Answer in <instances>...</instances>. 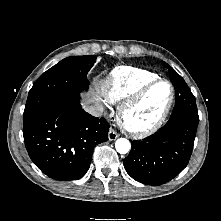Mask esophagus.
<instances>
[{
  "instance_id": "34e87169",
  "label": "esophagus",
  "mask_w": 221,
  "mask_h": 221,
  "mask_svg": "<svg viewBox=\"0 0 221 221\" xmlns=\"http://www.w3.org/2000/svg\"><path fill=\"white\" fill-rule=\"evenodd\" d=\"M119 137V134L113 130V129H110L109 132H108V139L110 141H114L116 140L117 138Z\"/></svg>"
}]
</instances>
